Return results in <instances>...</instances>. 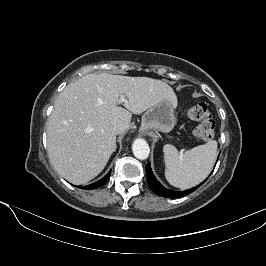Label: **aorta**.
<instances>
[{
	"label": "aorta",
	"instance_id": "aorta-1",
	"mask_svg": "<svg viewBox=\"0 0 266 266\" xmlns=\"http://www.w3.org/2000/svg\"><path fill=\"white\" fill-rule=\"evenodd\" d=\"M132 150L136 158L145 160L149 156V146L144 139L138 138L134 140Z\"/></svg>",
	"mask_w": 266,
	"mask_h": 266
}]
</instances>
